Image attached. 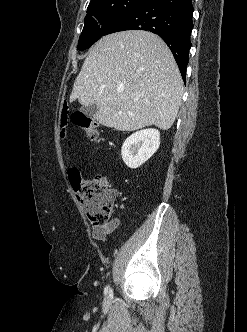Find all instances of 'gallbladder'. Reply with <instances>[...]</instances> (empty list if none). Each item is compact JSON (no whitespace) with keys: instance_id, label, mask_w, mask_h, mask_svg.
I'll use <instances>...</instances> for the list:
<instances>
[{"instance_id":"obj_1","label":"gallbladder","mask_w":247,"mask_h":332,"mask_svg":"<svg viewBox=\"0 0 247 332\" xmlns=\"http://www.w3.org/2000/svg\"><path fill=\"white\" fill-rule=\"evenodd\" d=\"M80 111L83 113L89 115V116H94L97 112V106L95 104L89 105V106H82L80 108Z\"/></svg>"}]
</instances>
